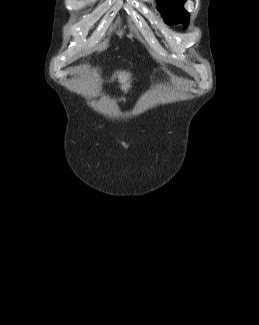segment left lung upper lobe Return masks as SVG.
<instances>
[{
    "label": "left lung upper lobe",
    "mask_w": 259,
    "mask_h": 325,
    "mask_svg": "<svg viewBox=\"0 0 259 325\" xmlns=\"http://www.w3.org/2000/svg\"><path fill=\"white\" fill-rule=\"evenodd\" d=\"M158 10L161 12L165 22L170 25L182 23L186 28L189 23V14L183 8L186 0H157Z\"/></svg>",
    "instance_id": "1"
}]
</instances>
